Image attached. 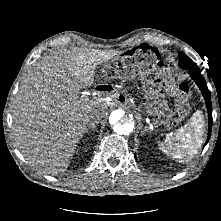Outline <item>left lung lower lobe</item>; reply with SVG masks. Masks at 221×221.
<instances>
[{"instance_id":"0a47b994","label":"left lung lower lobe","mask_w":221,"mask_h":221,"mask_svg":"<svg viewBox=\"0 0 221 221\" xmlns=\"http://www.w3.org/2000/svg\"><path fill=\"white\" fill-rule=\"evenodd\" d=\"M189 74L192 77V79L196 82V84L199 86L203 97L206 101V107L208 110V138L205 143V145L208 143L210 135H211V129H212V106H211V96L210 91L208 90V87L206 85L205 79L202 76L200 70H189ZM204 145V146H205Z\"/></svg>"}]
</instances>
